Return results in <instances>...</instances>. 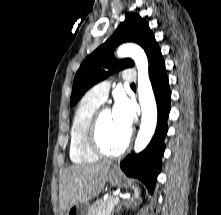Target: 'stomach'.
Wrapping results in <instances>:
<instances>
[{
  "mask_svg": "<svg viewBox=\"0 0 221 215\" xmlns=\"http://www.w3.org/2000/svg\"><path fill=\"white\" fill-rule=\"evenodd\" d=\"M107 178L111 184L119 187L123 186V174L117 168L109 170ZM88 211V203H78L72 206L69 210H67L65 215H88Z\"/></svg>",
  "mask_w": 221,
  "mask_h": 215,
  "instance_id": "0dacf381",
  "label": "stomach"
}]
</instances>
